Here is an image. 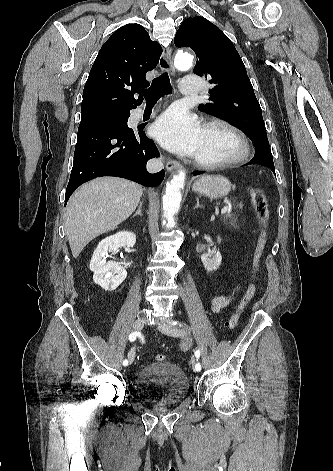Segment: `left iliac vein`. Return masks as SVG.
Listing matches in <instances>:
<instances>
[{
  "instance_id": "left-iliac-vein-1",
  "label": "left iliac vein",
  "mask_w": 333,
  "mask_h": 471,
  "mask_svg": "<svg viewBox=\"0 0 333 471\" xmlns=\"http://www.w3.org/2000/svg\"><path fill=\"white\" fill-rule=\"evenodd\" d=\"M158 329L168 335V336H173V337H178L182 338L185 341V344L188 345V335L187 332L181 328L175 327L171 324L167 323H159L158 324ZM192 364H194V360L192 359ZM195 370V369H194ZM196 371V370H195Z\"/></svg>"
}]
</instances>
